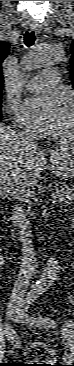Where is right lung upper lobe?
Segmentation results:
<instances>
[{"instance_id":"obj_1","label":"right lung upper lobe","mask_w":74,"mask_h":366,"mask_svg":"<svg viewBox=\"0 0 74 366\" xmlns=\"http://www.w3.org/2000/svg\"><path fill=\"white\" fill-rule=\"evenodd\" d=\"M10 51V43L5 41H0V93L4 83V78L2 75V63L4 59L8 56Z\"/></svg>"}]
</instances>
